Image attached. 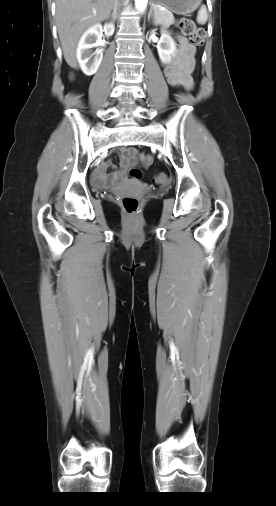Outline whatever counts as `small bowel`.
I'll list each match as a JSON object with an SVG mask.
<instances>
[{
	"instance_id": "small-bowel-1",
	"label": "small bowel",
	"mask_w": 276,
	"mask_h": 506,
	"mask_svg": "<svg viewBox=\"0 0 276 506\" xmlns=\"http://www.w3.org/2000/svg\"><path fill=\"white\" fill-rule=\"evenodd\" d=\"M180 49L174 59L164 65V74L167 81L172 86H180L186 90L193 87L191 72L193 70L194 47L188 43L187 39L179 36ZM141 160L147 165L150 158L138 152L133 147L124 148L121 151L120 168L112 175H106L105 169L113 167L110 162H103L94 172V184L97 189L103 190L111 186H116L126 179V171Z\"/></svg>"
}]
</instances>
